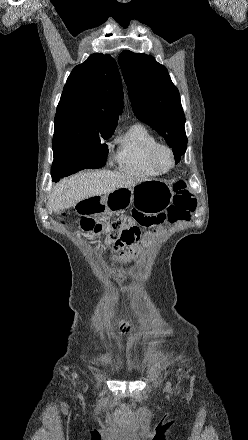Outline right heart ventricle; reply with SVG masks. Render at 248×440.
I'll list each match as a JSON object with an SVG mask.
<instances>
[{
	"instance_id": "obj_1",
	"label": "right heart ventricle",
	"mask_w": 248,
	"mask_h": 440,
	"mask_svg": "<svg viewBox=\"0 0 248 440\" xmlns=\"http://www.w3.org/2000/svg\"><path fill=\"white\" fill-rule=\"evenodd\" d=\"M158 144L156 137L142 124H134L116 139V168L136 177H155L161 173L151 164L149 155Z\"/></svg>"
}]
</instances>
